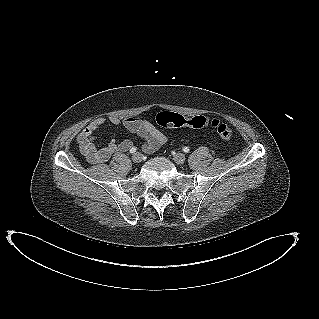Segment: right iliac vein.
<instances>
[{"instance_id": "1", "label": "right iliac vein", "mask_w": 319, "mask_h": 319, "mask_svg": "<svg viewBox=\"0 0 319 319\" xmlns=\"http://www.w3.org/2000/svg\"><path fill=\"white\" fill-rule=\"evenodd\" d=\"M143 157H142V154L141 153H135L133 156H132V161L134 163H140L142 161Z\"/></svg>"}]
</instances>
